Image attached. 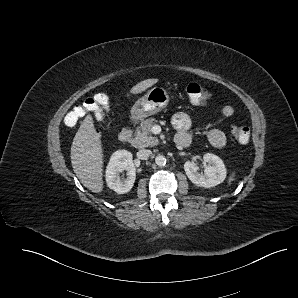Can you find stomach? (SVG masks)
Listing matches in <instances>:
<instances>
[{
	"instance_id": "stomach-1",
	"label": "stomach",
	"mask_w": 298,
	"mask_h": 298,
	"mask_svg": "<svg viewBox=\"0 0 298 298\" xmlns=\"http://www.w3.org/2000/svg\"><path fill=\"white\" fill-rule=\"evenodd\" d=\"M169 102L167 92L161 87H154L143 97L139 98L132 107V116L136 120H142L156 114Z\"/></svg>"
}]
</instances>
